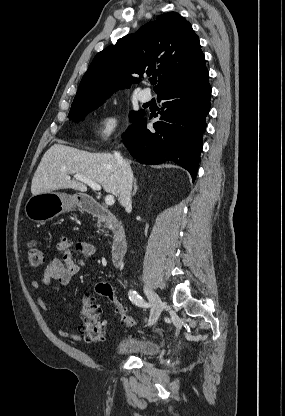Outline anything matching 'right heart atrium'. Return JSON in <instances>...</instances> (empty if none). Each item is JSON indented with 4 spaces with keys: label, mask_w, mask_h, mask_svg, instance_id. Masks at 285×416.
I'll return each instance as SVG.
<instances>
[{
    "label": "right heart atrium",
    "mask_w": 285,
    "mask_h": 416,
    "mask_svg": "<svg viewBox=\"0 0 285 416\" xmlns=\"http://www.w3.org/2000/svg\"><path fill=\"white\" fill-rule=\"evenodd\" d=\"M119 125V115L114 110H107L100 113L97 127L95 129V138L100 143L107 142L116 132Z\"/></svg>",
    "instance_id": "right-heart-atrium-1"
}]
</instances>
